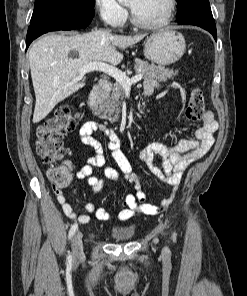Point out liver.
Returning a JSON list of instances; mask_svg holds the SVG:
<instances>
[{
	"instance_id": "1",
	"label": "liver",
	"mask_w": 247,
	"mask_h": 296,
	"mask_svg": "<svg viewBox=\"0 0 247 296\" xmlns=\"http://www.w3.org/2000/svg\"><path fill=\"white\" fill-rule=\"evenodd\" d=\"M145 35L123 36L94 30L85 34H49L36 41L29 50L31 78L36 104L33 123L43 120L61 101L85 86L78 70L90 62L118 65L125 49ZM77 51L78 57H69Z\"/></svg>"
}]
</instances>
